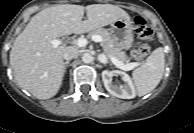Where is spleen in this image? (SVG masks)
Masks as SVG:
<instances>
[{"label": "spleen", "instance_id": "1", "mask_svg": "<svg viewBox=\"0 0 194 133\" xmlns=\"http://www.w3.org/2000/svg\"><path fill=\"white\" fill-rule=\"evenodd\" d=\"M164 67L165 55L163 49L159 47L132 73L138 96H144L156 88L162 79Z\"/></svg>", "mask_w": 194, "mask_h": 133}]
</instances>
